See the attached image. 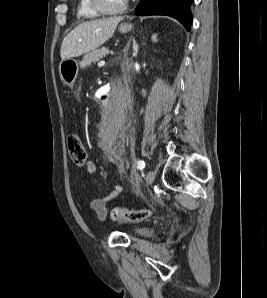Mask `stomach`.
I'll list each match as a JSON object with an SVG mask.
<instances>
[{
	"instance_id": "obj_1",
	"label": "stomach",
	"mask_w": 267,
	"mask_h": 298,
	"mask_svg": "<svg viewBox=\"0 0 267 298\" xmlns=\"http://www.w3.org/2000/svg\"><path fill=\"white\" fill-rule=\"evenodd\" d=\"M131 24H122L119 27L120 33H127L131 31ZM79 66L76 60L66 59L61 61L59 65L60 78L64 84L72 86L76 80L78 74Z\"/></svg>"
}]
</instances>
